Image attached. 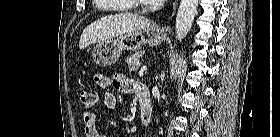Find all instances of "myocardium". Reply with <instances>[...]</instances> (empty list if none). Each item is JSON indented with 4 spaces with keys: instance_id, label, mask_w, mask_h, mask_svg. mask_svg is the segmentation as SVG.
<instances>
[{
    "instance_id": "f54148a6",
    "label": "myocardium",
    "mask_w": 280,
    "mask_h": 137,
    "mask_svg": "<svg viewBox=\"0 0 280 137\" xmlns=\"http://www.w3.org/2000/svg\"><path fill=\"white\" fill-rule=\"evenodd\" d=\"M137 7H139L142 10H153L155 9L156 5L154 4H149L144 0H132Z\"/></svg>"
}]
</instances>
